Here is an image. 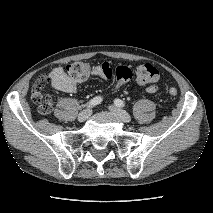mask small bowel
I'll list each match as a JSON object with an SVG mask.
<instances>
[{
	"label": "small bowel",
	"mask_w": 213,
	"mask_h": 213,
	"mask_svg": "<svg viewBox=\"0 0 213 213\" xmlns=\"http://www.w3.org/2000/svg\"><path fill=\"white\" fill-rule=\"evenodd\" d=\"M109 69H112V67L108 62L99 65V76L106 78L104 71ZM48 79L50 80L52 87L59 92L73 93L76 91L77 81L71 78L61 67L53 68L48 75ZM157 90L158 88L155 85L147 87L149 93H155Z\"/></svg>",
	"instance_id": "small-bowel-1"
}]
</instances>
